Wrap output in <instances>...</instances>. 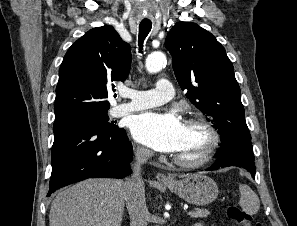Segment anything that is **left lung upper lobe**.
Returning <instances> with one entry per match:
<instances>
[{
  "label": "left lung upper lobe",
  "instance_id": "obj_1",
  "mask_svg": "<svg viewBox=\"0 0 297 226\" xmlns=\"http://www.w3.org/2000/svg\"><path fill=\"white\" fill-rule=\"evenodd\" d=\"M165 47L186 97L218 130L221 146L251 143L232 62L216 38L192 22H178Z\"/></svg>",
  "mask_w": 297,
  "mask_h": 226
}]
</instances>
